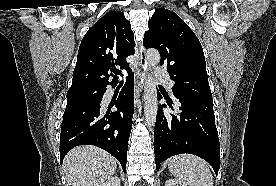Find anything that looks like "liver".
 Returning a JSON list of instances; mask_svg holds the SVG:
<instances>
[{
	"instance_id": "6515ba94",
	"label": "liver",
	"mask_w": 276,
	"mask_h": 186,
	"mask_svg": "<svg viewBox=\"0 0 276 186\" xmlns=\"http://www.w3.org/2000/svg\"><path fill=\"white\" fill-rule=\"evenodd\" d=\"M116 168L117 161L112 155L92 145L73 148L63 161L68 186H102Z\"/></svg>"
}]
</instances>
